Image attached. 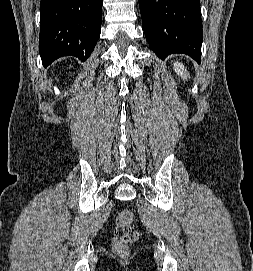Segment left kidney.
<instances>
[{"mask_svg":"<svg viewBox=\"0 0 253 271\" xmlns=\"http://www.w3.org/2000/svg\"><path fill=\"white\" fill-rule=\"evenodd\" d=\"M173 68L182 79L187 80L188 78H190L189 72L182 63L176 61Z\"/></svg>","mask_w":253,"mask_h":271,"instance_id":"1","label":"left kidney"}]
</instances>
